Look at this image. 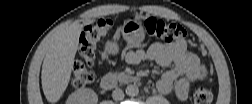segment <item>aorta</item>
<instances>
[{
	"instance_id": "762f6f07",
	"label": "aorta",
	"mask_w": 252,
	"mask_h": 104,
	"mask_svg": "<svg viewBox=\"0 0 252 104\" xmlns=\"http://www.w3.org/2000/svg\"><path fill=\"white\" fill-rule=\"evenodd\" d=\"M126 94L129 97H136L139 94V87L136 84H130L126 87Z\"/></svg>"
}]
</instances>
